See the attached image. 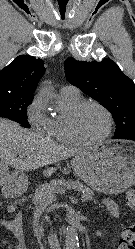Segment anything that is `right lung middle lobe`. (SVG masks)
<instances>
[{
	"instance_id": "obj_1",
	"label": "right lung middle lobe",
	"mask_w": 135,
	"mask_h": 249,
	"mask_svg": "<svg viewBox=\"0 0 135 249\" xmlns=\"http://www.w3.org/2000/svg\"><path fill=\"white\" fill-rule=\"evenodd\" d=\"M32 100L33 96L0 94V117L9 118L29 128L26 111Z\"/></svg>"
}]
</instances>
